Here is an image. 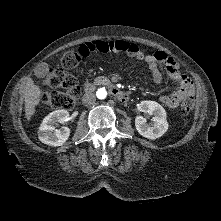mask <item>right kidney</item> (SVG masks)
<instances>
[{"instance_id":"ca27d5eb","label":"right kidney","mask_w":221,"mask_h":221,"mask_svg":"<svg viewBox=\"0 0 221 221\" xmlns=\"http://www.w3.org/2000/svg\"><path fill=\"white\" fill-rule=\"evenodd\" d=\"M68 117L69 112L64 109L53 111L47 115L39 127V140L50 146L63 145L70 135V129L62 127L55 130L54 123H64L68 120Z\"/></svg>"}]
</instances>
